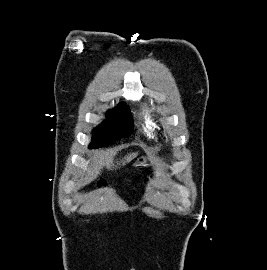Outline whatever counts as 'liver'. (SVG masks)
Returning <instances> with one entry per match:
<instances>
[{
  "label": "liver",
  "mask_w": 267,
  "mask_h": 270,
  "mask_svg": "<svg viewBox=\"0 0 267 270\" xmlns=\"http://www.w3.org/2000/svg\"><path fill=\"white\" fill-rule=\"evenodd\" d=\"M136 153H132L124 158L123 161H121V164L124 166L126 163L130 162L132 159L136 157ZM98 156H96L94 159L96 160ZM100 162L102 165L106 166L107 168H110L111 166H114L112 159H110L108 156L102 157L100 156ZM120 165V163H117Z\"/></svg>",
  "instance_id": "1"
}]
</instances>
